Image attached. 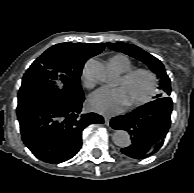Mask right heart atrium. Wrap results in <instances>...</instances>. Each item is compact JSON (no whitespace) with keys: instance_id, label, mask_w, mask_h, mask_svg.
Masks as SVG:
<instances>
[{"instance_id":"obj_1","label":"right heart atrium","mask_w":194,"mask_h":193,"mask_svg":"<svg viewBox=\"0 0 194 193\" xmlns=\"http://www.w3.org/2000/svg\"><path fill=\"white\" fill-rule=\"evenodd\" d=\"M83 80L86 87L91 88L93 86L92 79L86 74L85 70L83 72Z\"/></svg>"}]
</instances>
